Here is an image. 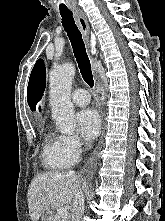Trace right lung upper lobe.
I'll return each mask as SVG.
<instances>
[{
	"mask_svg": "<svg viewBox=\"0 0 165 221\" xmlns=\"http://www.w3.org/2000/svg\"><path fill=\"white\" fill-rule=\"evenodd\" d=\"M45 79V65L43 60L39 59L32 69L27 88V101L32 111H35V106L43 95Z\"/></svg>",
	"mask_w": 165,
	"mask_h": 221,
	"instance_id": "obj_1",
	"label": "right lung upper lobe"
}]
</instances>
